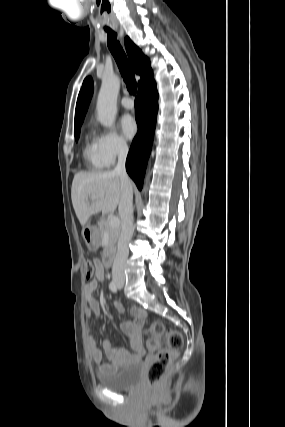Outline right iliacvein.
I'll return each mask as SVG.
<instances>
[{"mask_svg": "<svg viewBox=\"0 0 285 427\" xmlns=\"http://www.w3.org/2000/svg\"><path fill=\"white\" fill-rule=\"evenodd\" d=\"M114 280H115V282H116L117 284H122V283H124V280H123V279H120V278H118V277H115V278H114Z\"/></svg>", "mask_w": 285, "mask_h": 427, "instance_id": "1", "label": "right iliac vein"}]
</instances>
